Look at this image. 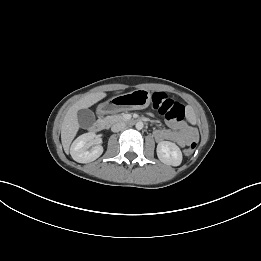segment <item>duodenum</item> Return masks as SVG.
I'll list each match as a JSON object with an SVG mask.
<instances>
[{
    "label": "duodenum",
    "mask_w": 261,
    "mask_h": 261,
    "mask_svg": "<svg viewBox=\"0 0 261 261\" xmlns=\"http://www.w3.org/2000/svg\"><path fill=\"white\" fill-rule=\"evenodd\" d=\"M111 108V106H106L104 108V110H109ZM130 123H135V122H138V120H135V119H130L129 120ZM107 127V122L104 120V119H99L95 125H94V129L97 130V131H100V130H103Z\"/></svg>",
    "instance_id": "duodenum-1"
}]
</instances>
